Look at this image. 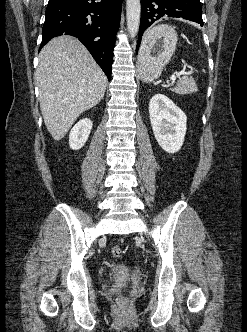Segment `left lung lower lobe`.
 <instances>
[{
  "instance_id": "0a47b994",
  "label": "left lung lower lobe",
  "mask_w": 247,
  "mask_h": 332,
  "mask_svg": "<svg viewBox=\"0 0 247 332\" xmlns=\"http://www.w3.org/2000/svg\"><path fill=\"white\" fill-rule=\"evenodd\" d=\"M167 17L184 18L203 26L200 0H141V20L136 53L144 31L155 21Z\"/></svg>"
}]
</instances>
